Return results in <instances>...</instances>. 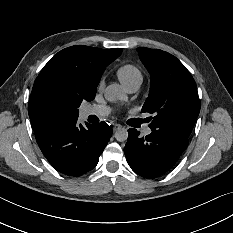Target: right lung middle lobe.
<instances>
[{
	"mask_svg": "<svg viewBox=\"0 0 233 233\" xmlns=\"http://www.w3.org/2000/svg\"><path fill=\"white\" fill-rule=\"evenodd\" d=\"M96 91L76 88H57L50 92L46 104V116L50 121L76 120L78 107L83 100L92 101Z\"/></svg>",
	"mask_w": 233,
	"mask_h": 233,
	"instance_id": "obj_1",
	"label": "right lung middle lobe"
}]
</instances>
